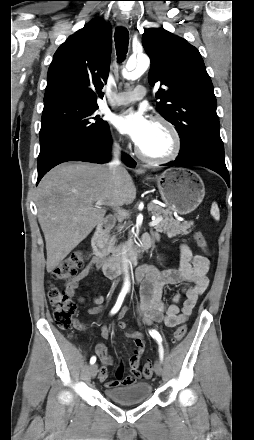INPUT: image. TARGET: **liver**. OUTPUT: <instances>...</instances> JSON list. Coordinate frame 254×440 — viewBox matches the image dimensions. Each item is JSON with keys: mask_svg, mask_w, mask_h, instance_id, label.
<instances>
[{"mask_svg": "<svg viewBox=\"0 0 254 440\" xmlns=\"http://www.w3.org/2000/svg\"><path fill=\"white\" fill-rule=\"evenodd\" d=\"M136 187L128 171L121 167L115 175L108 165L63 163L40 181L36 204L44 233L47 262L52 272L104 218L106 207L131 204Z\"/></svg>", "mask_w": 254, "mask_h": 440, "instance_id": "6515ba94", "label": "liver"}]
</instances>
